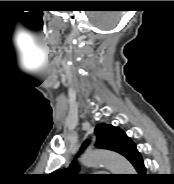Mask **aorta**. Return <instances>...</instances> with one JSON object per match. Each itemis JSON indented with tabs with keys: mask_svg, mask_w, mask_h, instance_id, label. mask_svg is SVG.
Returning a JSON list of instances; mask_svg holds the SVG:
<instances>
[{
	"mask_svg": "<svg viewBox=\"0 0 174 184\" xmlns=\"http://www.w3.org/2000/svg\"><path fill=\"white\" fill-rule=\"evenodd\" d=\"M83 165L95 167L103 165L113 174H135L130 162L122 155L106 150H90L81 158Z\"/></svg>",
	"mask_w": 174,
	"mask_h": 184,
	"instance_id": "aorta-1",
	"label": "aorta"
}]
</instances>
